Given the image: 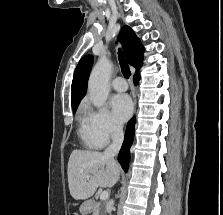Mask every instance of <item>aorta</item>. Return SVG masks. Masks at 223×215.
I'll return each mask as SVG.
<instances>
[{"mask_svg": "<svg viewBox=\"0 0 223 215\" xmlns=\"http://www.w3.org/2000/svg\"><path fill=\"white\" fill-rule=\"evenodd\" d=\"M112 74V64L107 58H99L95 64L88 82L89 98L96 106H104L110 92V78Z\"/></svg>", "mask_w": 223, "mask_h": 215, "instance_id": "762f6f07", "label": "aorta"}]
</instances>
